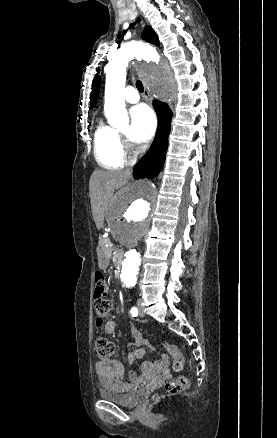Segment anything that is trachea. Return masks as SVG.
<instances>
[{"mask_svg":"<svg viewBox=\"0 0 277 438\" xmlns=\"http://www.w3.org/2000/svg\"><path fill=\"white\" fill-rule=\"evenodd\" d=\"M136 87L139 90V92L143 93L144 87H143V84H142V82L140 80L136 81Z\"/></svg>","mask_w":277,"mask_h":438,"instance_id":"3493384b","label":"trachea"}]
</instances>
